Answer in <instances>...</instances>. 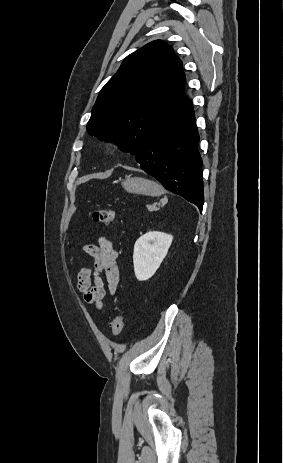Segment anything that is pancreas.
I'll return each instance as SVG.
<instances>
[{"label":"pancreas","mask_w":283,"mask_h":463,"mask_svg":"<svg viewBox=\"0 0 283 463\" xmlns=\"http://www.w3.org/2000/svg\"><path fill=\"white\" fill-rule=\"evenodd\" d=\"M147 209H148L149 211L157 210L156 206H153V205H147Z\"/></svg>","instance_id":"pancreas-1"}]
</instances>
